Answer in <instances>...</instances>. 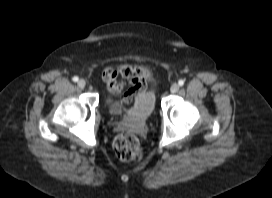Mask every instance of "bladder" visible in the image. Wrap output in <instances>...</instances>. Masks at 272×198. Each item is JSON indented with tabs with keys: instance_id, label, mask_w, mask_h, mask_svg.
Segmentation results:
<instances>
[{
	"instance_id": "obj_1",
	"label": "bladder",
	"mask_w": 272,
	"mask_h": 198,
	"mask_svg": "<svg viewBox=\"0 0 272 198\" xmlns=\"http://www.w3.org/2000/svg\"><path fill=\"white\" fill-rule=\"evenodd\" d=\"M109 112L117 117H131L138 120L147 119L154 110V97L149 94L136 102L131 107H126L120 100L107 101Z\"/></svg>"
}]
</instances>
